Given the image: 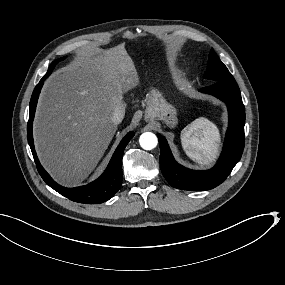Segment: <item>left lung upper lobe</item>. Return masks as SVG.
Wrapping results in <instances>:
<instances>
[{
	"label": "left lung upper lobe",
	"mask_w": 285,
	"mask_h": 285,
	"mask_svg": "<svg viewBox=\"0 0 285 285\" xmlns=\"http://www.w3.org/2000/svg\"><path fill=\"white\" fill-rule=\"evenodd\" d=\"M204 77L212 80V82H235V79L213 49L209 55L208 66Z\"/></svg>",
	"instance_id": "obj_1"
}]
</instances>
